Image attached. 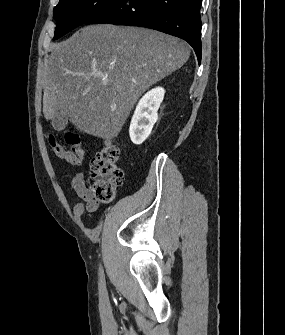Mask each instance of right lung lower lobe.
<instances>
[{
    "label": "right lung lower lobe",
    "instance_id": "obj_1",
    "mask_svg": "<svg viewBox=\"0 0 285 335\" xmlns=\"http://www.w3.org/2000/svg\"><path fill=\"white\" fill-rule=\"evenodd\" d=\"M201 0H117L85 23L148 27L187 41L201 62Z\"/></svg>",
    "mask_w": 285,
    "mask_h": 335
}]
</instances>
